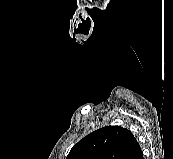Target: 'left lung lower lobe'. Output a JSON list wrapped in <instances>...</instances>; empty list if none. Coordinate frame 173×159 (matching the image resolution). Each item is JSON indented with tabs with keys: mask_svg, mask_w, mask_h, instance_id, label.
<instances>
[{
	"mask_svg": "<svg viewBox=\"0 0 173 159\" xmlns=\"http://www.w3.org/2000/svg\"><path fill=\"white\" fill-rule=\"evenodd\" d=\"M135 159H144V158H143V153H142V151H140V152L138 153V155L135 157Z\"/></svg>",
	"mask_w": 173,
	"mask_h": 159,
	"instance_id": "obj_1",
	"label": "left lung lower lobe"
}]
</instances>
